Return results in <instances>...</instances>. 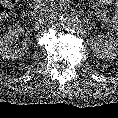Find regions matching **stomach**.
I'll return each mask as SVG.
<instances>
[{"instance_id":"obj_1","label":"stomach","mask_w":118,"mask_h":118,"mask_svg":"<svg viewBox=\"0 0 118 118\" xmlns=\"http://www.w3.org/2000/svg\"><path fill=\"white\" fill-rule=\"evenodd\" d=\"M98 1L105 5H111L115 0H98ZM117 7H118V2H117Z\"/></svg>"}]
</instances>
